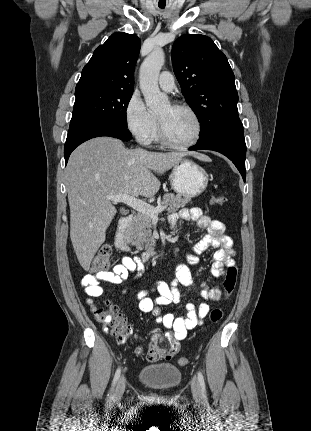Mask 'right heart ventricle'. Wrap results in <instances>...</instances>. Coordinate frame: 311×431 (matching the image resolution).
Returning <instances> with one entry per match:
<instances>
[{"instance_id":"e07e8e85","label":"right heart ventricle","mask_w":311,"mask_h":431,"mask_svg":"<svg viewBox=\"0 0 311 431\" xmlns=\"http://www.w3.org/2000/svg\"><path fill=\"white\" fill-rule=\"evenodd\" d=\"M152 139H157V122L152 131Z\"/></svg>"}]
</instances>
